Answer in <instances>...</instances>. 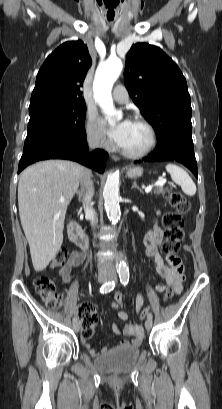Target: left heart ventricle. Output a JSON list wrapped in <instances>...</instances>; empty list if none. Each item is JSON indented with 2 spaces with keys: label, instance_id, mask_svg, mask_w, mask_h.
I'll use <instances>...</instances> for the list:
<instances>
[{
  "label": "left heart ventricle",
  "instance_id": "1",
  "mask_svg": "<svg viewBox=\"0 0 222 409\" xmlns=\"http://www.w3.org/2000/svg\"><path fill=\"white\" fill-rule=\"evenodd\" d=\"M149 132L141 124L130 122L126 128L121 148L130 151H140L149 143Z\"/></svg>",
  "mask_w": 222,
  "mask_h": 409
}]
</instances>
